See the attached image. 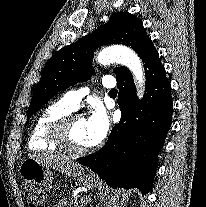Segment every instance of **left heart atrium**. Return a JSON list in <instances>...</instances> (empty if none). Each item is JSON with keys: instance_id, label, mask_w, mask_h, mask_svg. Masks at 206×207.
I'll use <instances>...</instances> for the list:
<instances>
[{"instance_id": "1", "label": "left heart atrium", "mask_w": 206, "mask_h": 207, "mask_svg": "<svg viewBox=\"0 0 206 207\" xmlns=\"http://www.w3.org/2000/svg\"><path fill=\"white\" fill-rule=\"evenodd\" d=\"M86 124L87 139L90 147L103 141L110 128V121L107 112L100 105L95 106L92 114L86 120Z\"/></svg>"}]
</instances>
